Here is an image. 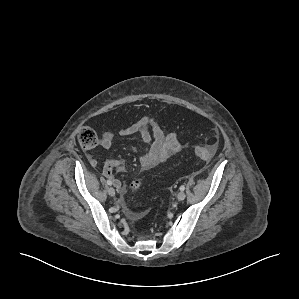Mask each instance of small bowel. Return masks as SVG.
I'll return each instance as SVG.
<instances>
[{
	"label": "small bowel",
	"mask_w": 299,
	"mask_h": 299,
	"mask_svg": "<svg viewBox=\"0 0 299 299\" xmlns=\"http://www.w3.org/2000/svg\"><path fill=\"white\" fill-rule=\"evenodd\" d=\"M138 135L145 144V149L140 157L142 169L149 170L164 163L170 156L181 149V145L175 134H165L159 125L151 118L143 117L138 122L121 128L118 131H106L102 134L100 145L104 149H109L113 145L117 136ZM97 160L92 159L91 164L96 165ZM123 172V164L116 159H107L103 166V173L110 178L114 185L124 191L121 181L114 177V172ZM133 217H138L133 214Z\"/></svg>",
	"instance_id": "obj_1"
}]
</instances>
